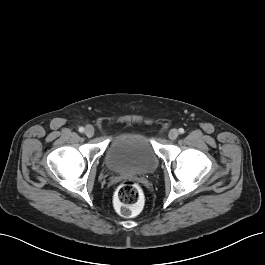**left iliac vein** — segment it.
<instances>
[{"label":"left iliac vein","instance_id":"left-iliac-vein-1","mask_svg":"<svg viewBox=\"0 0 265 265\" xmlns=\"http://www.w3.org/2000/svg\"><path fill=\"white\" fill-rule=\"evenodd\" d=\"M178 135H179V132L176 129H172L168 133V137L170 140H175L178 137Z\"/></svg>","mask_w":265,"mask_h":265}]
</instances>
